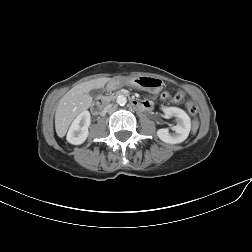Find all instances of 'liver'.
Segmentation results:
<instances>
[{
    "label": "liver",
    "instance_id": "liver-1",
    "mask_svg": "<svg viewBox=\"0 0 252 252\" xmlns=\"http://www.w3.org/2000/svg\"><path fill=\"white\" fill-rule=\"evenodd\" d=\"M110 78H98L83 82L69 90L60 100L55 114V128L59 137H63L73 119L90 107L92 97L89 92L105 86Z\"/></svg>",
    "mask_w": 252,
    "mask_h": 252
}]
</instances>
